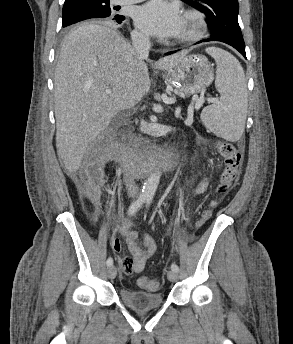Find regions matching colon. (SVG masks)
<instances>
[{
    "instance_id": "colon-1",
    "label": "colon",
    "mask_w": 293,
    "mask_h": 344,
    "mask_svg": "<svg viewBox=\"0 0 293 344\" xmlns=\"http://www.w3.org/2000/svg\"><path fill=\"white\" fill-rule=\"evenodd\" d=\"M216 148L223 158L224 167L222 169L218 194L222 198L226 196L236 181L239 170L242 164V153L239 148L232 142L219 141L216 143ZM220 199L213 200L208 209H206L201 219L197 223V227H201L211 216L213 209L219 204ZM140 287L155 290L158 288V283L149 278H141L138 281Z\"/></svg>"
}]
</instances>
